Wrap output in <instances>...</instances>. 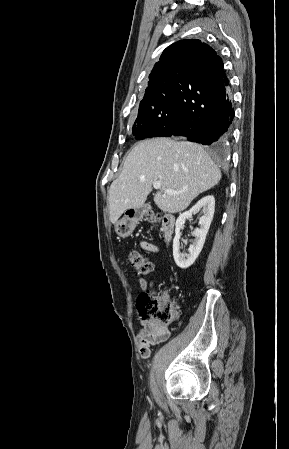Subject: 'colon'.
<instances>
[{
    "instance_id": "5ec220e1",
    "label": "colon",
    "mask_w": 289,
    "mask_h": 449,
    "mask_svg": "<svg viewBox=\"0 0 289 449\" xmlns=\"http://www.w3.org/2000/svg\"><path fill=\"white\" fill-rule=\"evenodd\" d=\"M145 217L152 222L158 218L153 212L147 213ZM124 224L128 226L129 221ZM129 260L139 276H148L154 271L153 262L137 251L129 254ZM137 303L151 331L160 336L169 335L170 326L179 318V310L171 303L168 295L146 290L139 295Z\"/></svg>"
}]
</instances>
